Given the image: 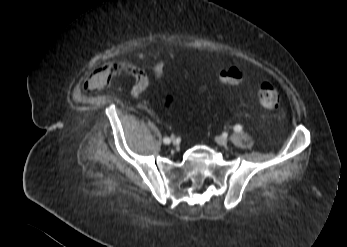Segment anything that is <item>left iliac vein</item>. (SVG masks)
I'll list each match as a JSON object with an SVG mask.
<instances>
[{
  "label": "left iliac vein",
  "instance_id": "left-iliac-vein-1",
  "mask_svg": "<svg viewBox=\"0 0 347 247\" xmlns=\"http://www.w3.org/2000/svg\"><path fill=\"white\" fill-rule=\"evenodd\" d=\"M215 141L221 146H226L228 143V140L223 136H217L215 138Z\"/></svg>",
  "mask_w": 347,
  "mask_h": 247
}]
</instances>
